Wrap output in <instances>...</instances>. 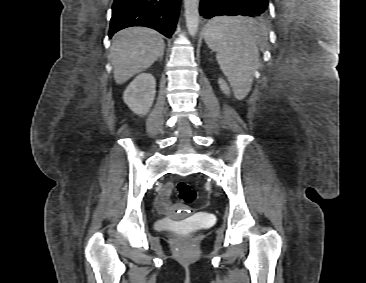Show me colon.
<instances>
[{"instance_id": "1", "label": "colon", "mask_w": 366, "mask_h": 283, "mask_svg": "<svg viewBox=\"0 0 366 283\" xmlns=\"http://www.w3.org/2000/svg\"><path fill=\"white\" fill-rule=\"evenodd\" d=\"M176 195L184 203L191 204L196 199L195 188L187 182H179L176 185Z\"/></svg>"}]
</instances>
